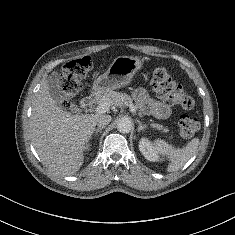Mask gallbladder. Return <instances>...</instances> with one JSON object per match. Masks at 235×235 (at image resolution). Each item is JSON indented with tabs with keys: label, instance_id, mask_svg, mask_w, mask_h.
<instances>
[{
	"label": "gallbladder",
	"instance_id": "gallbladder-1",
	"mask_svg": "<svg viewBox=\"0 0 235 235\" xmlns=\"http://www.w3.org/2000/svg\"><path fill=\"white\" fill-rule=\"evenodd\" d=\"M48 81V86H49V92L51 96L58 101L60 99V90H59V76L57 73H52L51 76L47 79ZM70 110L72 112H77L79 111V108L77 105H71Z\"/></svg>",
	"mask_w": 235,
	"mask_h": 235
}]
</instances>
